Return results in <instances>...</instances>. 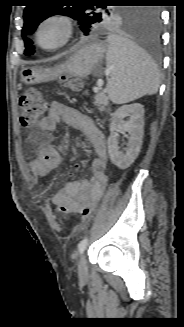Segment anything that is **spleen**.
Here are the masks:
<instances>
[{"label": "spleen", "instance_id": "1", "mask_svg": "<svg viewBox=\"0 0 184 327\" xmlns=\"http://www.w3.org/2000/svg\"><path fill=\"white\" fill-rule=\"evenodd\" d=\"M107 92L115 104H123L158 91V69L148 54L132 41L116 34L107 37Z\"/></svg>", "mask_w": 184, "mask_h": 327}]
</instances>
